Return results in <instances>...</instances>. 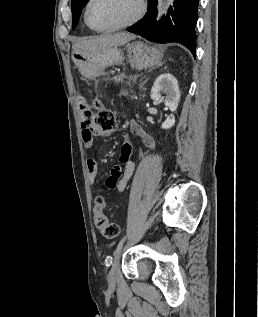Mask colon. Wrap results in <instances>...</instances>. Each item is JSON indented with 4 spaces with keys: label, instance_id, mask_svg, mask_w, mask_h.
<instances>
[{
    "label": "colon",
    "instance_id": "5ec220e1",
    "mask_svg": "<svg viewBox=\"0 0 258 317\" xmlns=\"http://www.w3.org/2000/svg\"><path fill=\"white\" fill-rule=\"evenodd\" d=\"M81 109L84 111L83 129L90 135L108 136L116 132L118 124L115 115L99 102L82 103ZM105 210V200L98 196L94 206L95 225L103 237L113 239L119 235L120 228L116 223L109 221Z\"/></svg>",
    "mask_w": 258,
    "mask_h": 317
}]
</instances>
